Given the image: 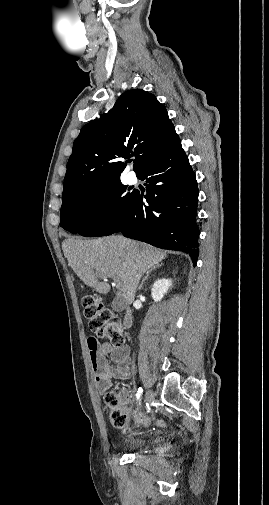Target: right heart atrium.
<instances>
[{
	"mask_svg": "<svg viewBox=\"0 0 269 505\" xmlns=\"http://www.w3.org/2000/svg\"><path fill=\"white\" fill-rule=\"evenodd\" d=\"M114 201L110 196L103 197L96 206V212L99 216H107L113 209Z\"/></svg>",
	"mask_w": 269,
	"mask_h": 505,
	"instance_id": "d8ad5b80",
	"label": "right heart atrium"
}]
</instances>
